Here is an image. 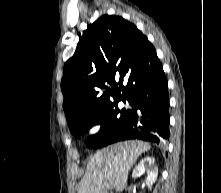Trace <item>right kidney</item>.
Returning <instances> with one entry per match:
<instances>
[{"label":"right kidney","instance_id":"obj_1","mask_svg":"<svg viewBox=\"0 0 221 193\" xmlns=\"http://www.w3.org/2000/svg\"><path fill=\"white\" fill-rule=\"evenodd\" d=\"M145 171L148 173L146 179V185L151 189L152 185L155 183L158 175V169L155 165V159L152 157H145L140 161V163L133 170L132 176L137 178Z\"/></svg>","mask_w":221,"mask_h":193}]
</instances>
